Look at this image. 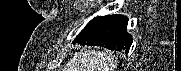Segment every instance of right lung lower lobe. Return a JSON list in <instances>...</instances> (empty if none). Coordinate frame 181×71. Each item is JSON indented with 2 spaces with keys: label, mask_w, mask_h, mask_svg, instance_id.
Wrapping results in <instances>:
<instances>
[{
  "label": "right lung lower lobe",
  "mask_w": 181,
  "mask_h": 71,
  "mask_svg": "<svg viewBox=\"0 0 181 71\" xmlns=\"http://www.w3.org/2000/svg\"><path fill=\"white\" fill-rule=\"evenodd\" d=\"M127 21L128 18L123 15L98 16L86 25L75 40L81 45L104 46L128 53L132 36L127 33Z\"/></svg>",
  "instance_id": "1"
}]
</instances>
